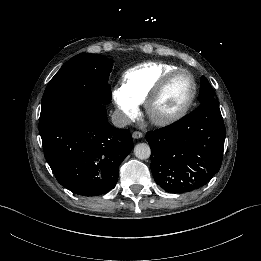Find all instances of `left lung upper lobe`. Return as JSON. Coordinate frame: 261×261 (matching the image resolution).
I'll list each match as a JSON object with an SVG mask.
<instances>
[{
  "label": "left lung upper lobe",
  "instance_id": "5c2ea615",
  "mask_svg": "<svg viewBox=\"0 0 261 261\" xmlns=\"http://www.w3.org/2000/svg\"><path fill=\"white\" fill-rule=\"evenodd\" d=\"M214 95H215V92L212 89L210 83L204 76H202L201 77V88H200V94H199L200 103H203L210 99H214Z\"/></svg>",
  "mask_w": 261,
  "mask_h": 261
}]
</instances>
